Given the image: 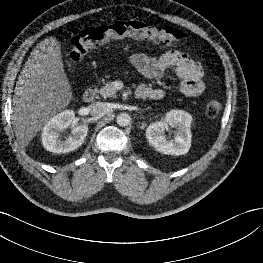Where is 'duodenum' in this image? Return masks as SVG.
Segmentation results:
<instances>
[{
  "instance_id": "410a0bca",
  "label": "duodenum",
  "mask_w": 263,
  "mask_h": 263,
  "mask_svg": "<svg viewBox=\"0 0 263 263\" xmlns=\"http://www.w3.org/2000/svg\"><path fill=\"white\" fill-rule=\"evenodd\" d=\"M97 95V89L95 87L87 88L83 93V100L85 102H92ZM137 99H144L147 97V93L143 90L138 89L135 93Z\"/></svg>"
}]
</instances>
